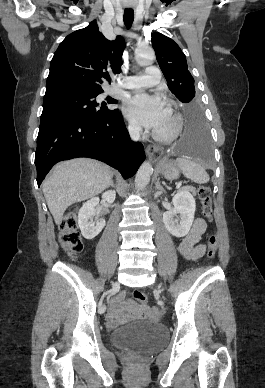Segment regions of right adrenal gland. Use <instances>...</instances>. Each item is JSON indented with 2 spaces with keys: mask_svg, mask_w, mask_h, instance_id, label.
<instances>
[{
  "mask_svg": "<svg viewBox=\"0 0 265 388\" xmlns=\"http://www.w3.org/2000/svg\"><path fill=\"white\" fill-rule=\"evenodd\" d=\"M111 186H112V188H115L113 180H111ZM109 188H110V186H109Z\"/></svg>",
  "mask_w": 265,
  "mask_h": 388,
  "instance_id": "2a0ac1e0",
  "label": "right adrenal gland"
}]
</instances>
